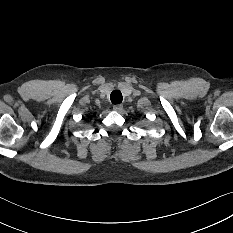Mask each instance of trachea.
<instances>
[{
	"label": "trachea",
	"mask_w": 233,
	"mask_h": 233,
	"mask_svg": "<svg viewBox=\"0 0 233 233\" xmlns=\"http://www.w3.org/2000/svg\"><path fill=\"white\" fill-rule=\"evenodd\" d=\"M111 102L113 104H119L122 102V94L119 90H115L111 93Z\"/></svg>",
	"instance_id": "obj_1"
}]
</instances>
